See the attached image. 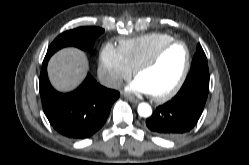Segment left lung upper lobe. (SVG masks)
Wrapping results in <instances>:
<instances>
[{"instance_id": "1", "label": "left lung upper lobe", "mask_w": 249, "mask_h": 165, "mask_svg": "<svg viewBox=\"0 0 249 165\" xmlns=\"http://www.w3.org/2000/svg\"><path fill=\"white\" fill-rule=\"evenodd\" d=\"M197 74L209 76V69H208L206 55L200 44H198V50L194 55L191 70L187 77Z\"/></svg>"}]
</instances>
